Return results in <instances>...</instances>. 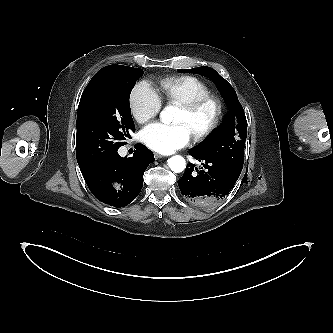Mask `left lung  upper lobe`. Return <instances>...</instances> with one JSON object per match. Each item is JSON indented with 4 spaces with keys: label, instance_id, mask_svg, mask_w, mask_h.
Masks as SVG:
<instances>
[{
    "label": "left lung upper lobe",
    "instance_id": "left-lung-upper-lobe-1",
    "mask_svg": "<svg viewBox=\"0 0 333 333\" xmlns=\"http://www.w3.org/2000/svg\"><path fill=\"white\" fill-rule=\"evenodd\" d=\"M201 74L212 79L229 107L225 122L216 134L195 148L202 155L215 160L240 175L244 163L247 121L233 87L211 67L177 70Z\"/></svg>",
    "mask_w": 333,
    "mask_h": 333
}]
</instances>
